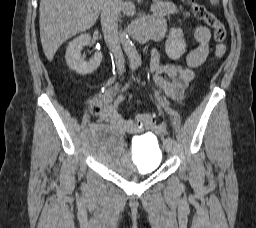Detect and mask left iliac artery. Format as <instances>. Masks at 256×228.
Here are the masks:
<instances>
[{
    "label": "left iliac artery",
    "instance_id": "44dca946",
    "mask_svg": "<svg viewBox=\"0 0 256 228\" xmlns=\"http://www.w3.org/2000/svg\"><path fill=\"white\" fill-rule=\"evenodd\" d=\"M158 109H160V107H159V106H158ZM166 140H168V141H170V142H172V143H173L172 138H171V137H169V136L166 138Z\"/></svg>",
    "mask_w": 256,
    "mask_h": 228
}]
</instances>
